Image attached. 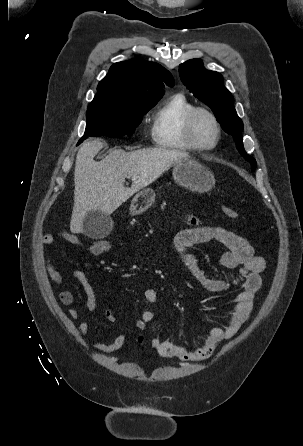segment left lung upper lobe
<instances>
[{
  "label": "left lung upper lobe",
  "mask_w": 303,
  "mask_h": 446,
  "mask_svg": "<svg viewBox=\"0 0 303 446\" xmlns=\"http://www.w3.org/2000/svg\"><path fill=\"white\" fill-rule=\"evenodd\" d=\"M179 74L194 96L212 109L222 128L233 135L238 151L255 170L256 160L244 150L241 137L243 122L234 108L233 96L223 85L222 76L205 69L201 59H191L180 64Z\"/></svg>",
  "instance_id": "1"
}]
</instances>
